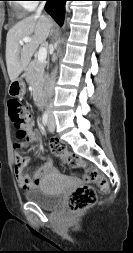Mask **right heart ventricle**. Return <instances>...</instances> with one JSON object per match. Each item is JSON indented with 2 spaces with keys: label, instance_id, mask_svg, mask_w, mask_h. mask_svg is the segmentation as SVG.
Masks as SVG:
<instances>
[{
  "label": "right heart ventricle",
  "instance_id": "obj_1",
  "mask_svg": "<svg viewBox=\"0 0 133 253\" xmlns=\"http://www.w3.org/2000/svg\"><path fill=\"white\" fill-rule=\"evenodd\" d=\"M13 7L18 11V12H22L25 8L23 7L22 3L19 2H15L13 4Z\"/></svg>",
  "mask_w": 133,
  "mask_h": 253
}]
</instances>
